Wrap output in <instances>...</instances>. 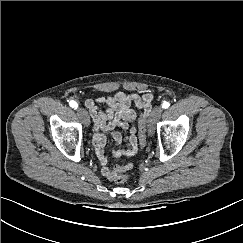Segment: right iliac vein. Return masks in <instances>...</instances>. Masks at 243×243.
I'll use <instances>...</instances> for the list:
<instances>
[{
	"mask_svg": "<svg viewBox=\"0 0 243 243\" xmlns=\"http://www.w3.org/2000/svg\"><path fill=\"white\" fill-rule=\"evenodd\" d=\"M77 114H78L79 118L83 121V123L86 126H89L90 119H89V116H88V113L86 112V110L83 108H78Z\"/></svg>",
	"mask_w": 243,
	"mask_h": 243,
	"instance_id": "right-iliac-vein-1",
	"label": "right iliac vein"
}]
</instances>
